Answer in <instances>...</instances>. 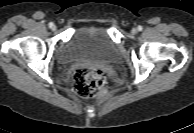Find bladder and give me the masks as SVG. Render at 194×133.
I'll return each mask as SVG.
<instances>
[{"label":"bladder","mask_w":194,"mask_h":133,"mask_svg":"<svg viewBox=\"0 0 194 133\" xmlns=\"http://www.w3.org/2000/svg\"><path fill=\"white\" fill-rule=\"evenodd\" d=\"M120 52L108 29L102 25H86L76 30L63 47L62 63L92 61L114 63Z\"/></svg>","instance_id":"obj_1"}]
</instances>
